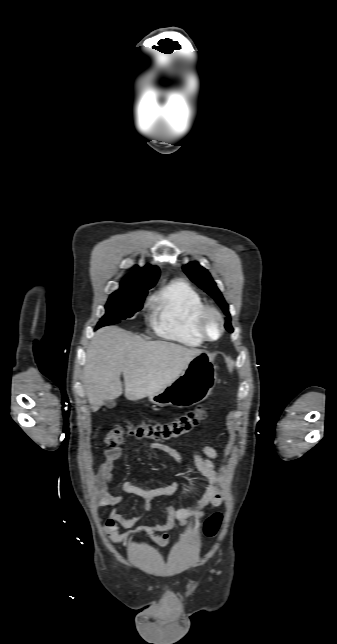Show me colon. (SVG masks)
Masks as SVG:
<instances>
[{
  "label": "colon",
  "instance_id": "1",
  "mask_svg": "<svg viewBox=\"0 0 337 644\" xmlns=\"http://www.w3.org/2000/svg\"><path fill=\"white\" fill-rule=\"evenodd\" d=\"M207 415V409L199 406L196 409L180 416L176 420L168 423L156 424H132L126 426H116L112 428L105 436V442L110 448L118 447L124 440L125 436H134L136 438H147L152 440H168L178 438L191 432ZM222 514L216 512L205 521L204 534L209 537H215L222 523Z\"/></svg>",
  "mask_w": 337,
  "mask_h": 644
}]
</instances>
